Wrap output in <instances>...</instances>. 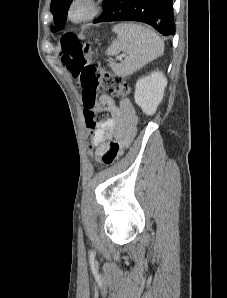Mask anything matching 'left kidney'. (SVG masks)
<instances>
[{
  "mask_svg": "<svg viewBox=\"0 0 227 298\" xmlns=\"http://www.w3.org/2000/svg\"><path fill=\"white\" fill-rule=\"evenodd\" d=\"M167 79L160 71L140 78L135 86L134 98L138 106L146 115H153L161 103Z\"/></svg>",
  "mask_w": 227,
  "mask_h": 298,
  "instance_id": "5707ae66",
  "label": "left kidney"
}]
</instances>
